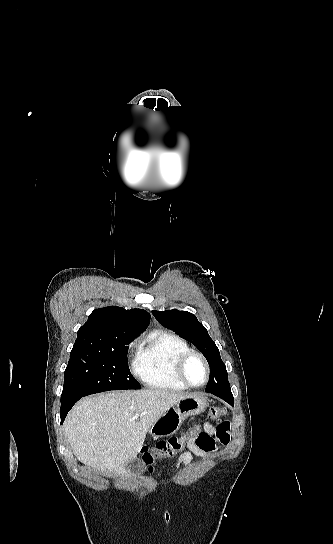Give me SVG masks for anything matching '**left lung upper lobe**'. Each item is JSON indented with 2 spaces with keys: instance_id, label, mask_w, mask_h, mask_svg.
Segmentation results:
<instances>
[{
  "instance_id": "1",
  "label": "left lung upper lobe",
  "mask_w": 333,
  "mask_h": 544,
  "mask_svg": "<svg viewBox=\"0 0 333 544\" xmlns=\"http://www.w3.org/2000/svg\"><path fill=\"white\" fill-rule=\"evenodd\" d=\"M152 313L164 327L194 344L205 356L210 366V377L205 391L230 393L226 366L221 360L219 349L196 316L177 309L152 311Z\"/></svg>"
}]
</instances>
